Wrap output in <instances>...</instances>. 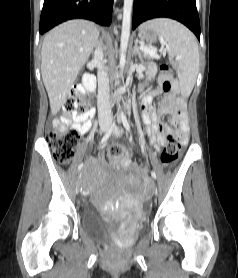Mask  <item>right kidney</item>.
<instances>
[{
    "label": "right kidney",
    "instance_id": "1",
    "mask_svg": "<svg viewBox=\"0 0 238 278\" xmlns=\"http://www.w3.org/2000/svg\"><path fill=\"white\" fill-rule=\"evenodd\" d=\"M82 84L89 92H93L96 89V79L93 75L85 73L82 77Z\"/></svg>",
    "mask_w": 238,
    "mask_h": 278
}]
</instances>
